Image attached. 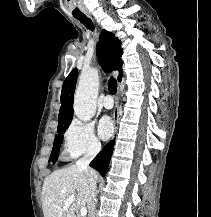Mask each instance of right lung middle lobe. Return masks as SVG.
Listing matches in <instances>:
<instances>
[{
    "label": "right lung middle lobe",
    "instance_id": "obj_1",
    "mask_svg": "<svg viewBox=\"0 0 211 217\" xmlns=\"http://www.w3.org/2000/svg\"><path fill=\"white\" fill-rule=\"evenodd\" d=\"M68 126H69V124H67V125H65L62 128L57 130L58 134L55 137L53 150H52L51 156L49 158V161L56 162L58 155H59L60 144H61V141L63 139V133L66 131Z\"/></svg>",
    "mask_w": 211,
    "mask_h": 217
}]
</instances>
